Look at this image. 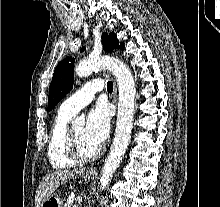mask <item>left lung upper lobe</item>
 <instances>
[{
	"mask_svg": "<svg viewBox=\"0 0 220 207\" xmlns=\"http://www.w3.org/2000/svg\"><path fill=\"white\" fill-rule=\"evenodd\" d=\"M102 41L106 52L113 51L114 49H124V44H119L117 36L113 32L110 34L103 33ZM73 68L74 58L72 57L65 58L56 66L49 87L48 111H51L72 89L74 82Z\"/></svg>",
	"mask_w": 220,
	"mask_h": 207,
	"instance_id": "obj_1",
	"label": "left lung upper lobe"
}]
</instances>
